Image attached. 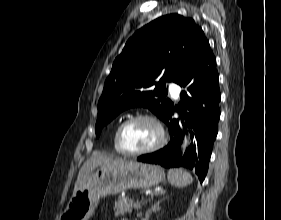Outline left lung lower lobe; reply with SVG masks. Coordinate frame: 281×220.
<instances>
[{"label":"left lung lower lobe","instance_id":"obj_1","mask_svg":"<svg viewBox=\"0 0 281 220\" xmlns=\"http://www.w3.org/2000/svg\"><path fill=\"white\" fill-rule=\"evenodd\" d=\"M218 82L216 59L209 47L192 61L188 72L178 83L184 88V91L181 92L182 101L179 103L181 111L172 107L166 120L171 141L163 149L152 154L142 155L137 160L160 164L164 167L193 169L202 183L207 174L213 144L218 132L221 99ZM174 111L179 112L181 120L172 117ZM187 126L194 129V133H190L192 138L194 136L195 141L182 155L179 150L184 134L187 133L185 128Z\"/></svg>","mask_w":281,"mask_h":220}]
</instances>
